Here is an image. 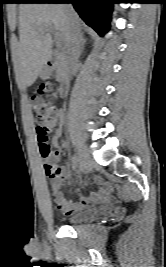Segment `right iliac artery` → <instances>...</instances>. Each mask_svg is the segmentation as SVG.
Listing matches in <instances>:
<instances>
[{
    "label": "right iliac artery",
    "mask_w": 166,
    "mask_h": 267,
    "mask_svg": "<svg viewBox=\"0 0 166 267\" xmlns=\"http://www.w3.org/2000/svg\"><path fill=\"white\" fill-rule=\"evenodd\" d=\"M71 161H72V167L74 170H76L78 167H80V159L77 155H73L71 157Z\"/></svg>",
    "instance_id": "obj_1"
}]
</instances>
